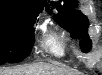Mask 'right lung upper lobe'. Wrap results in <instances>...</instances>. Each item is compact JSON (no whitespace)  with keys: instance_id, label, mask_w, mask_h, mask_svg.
<instances>
[{"instance_id":"cb5924a9","label":"right lung upper lobe","mask_w":102,"mask_h":75,"mask_svg":"<svg viewBox=\"0 0 102 75\" xmlns=\"http://www.w3.org/2000/svg\"><path fill=\"white\" fill-rule=\"evenodd\" d=\"M43 9V0H0V13L35 17Z\"/></svg>"}]
</instances>
